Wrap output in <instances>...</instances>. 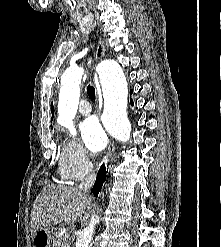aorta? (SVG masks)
<instances>
[{"label": "aorta", "instance_id": "762f6f07", "mask_svg": "<svg viewBox=\"0 0 221 247\" xmlns=\"http://www.w3.org/2000/svg\"><path fill=\"white\" fill-rule=\"evenodd\" d=\"M98 72L104 98V124L117 140L127 142L130 138L131 124L127 118L128 89L123 70L116 61L105 60L100 64ZM83 74V67H73L67 69L61 76L58 120L70 128L72 136L76 135L73 119L78 109ZM98 223L99 217L93 215L89 224L80 232L75 247L90 246Z\"/></svg>", "mask_w": 221, "mask_h": 247}]
</instances>
